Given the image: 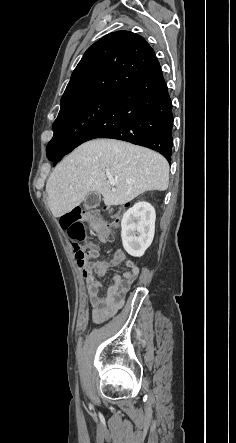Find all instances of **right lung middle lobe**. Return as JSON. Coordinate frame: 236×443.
<instances>
[{"instance_id":"right-lung-middle-lobe-1","label":"right lung middle lobe","mask_w":236,"mask_h":443,"mask_svg":"<svg viewBox=\"0 0 236 443\" xmlns=\"http://www.w3.org/2000/svg\"><path fill=\"white\" fill-rule=\"evenodd\" d=\"M114 96L113 94H97L60 111L53 123L54 135L47 148H67L78 133V129Z\"/></svg>"}]
</instances>
